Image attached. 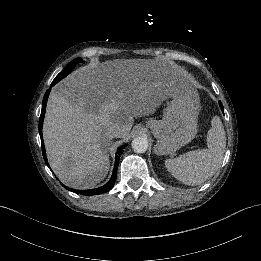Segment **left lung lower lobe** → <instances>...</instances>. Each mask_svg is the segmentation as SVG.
I'll list each match as a JSON object with an SVG mask.
<instances>
[{
  "label": "left lung lower lobe",
  "mask_w": 261,
  "mask_h": 261,
  "mask_svg": "<svg viewBox=\"0 0 261 261\" xmlns=\"http://www.w3.org/2000/svg\"><path fill=\"white\" fill-rule=\"evenodd\" d=\"M219 105H220L221 110L224 112L223 105L220 101H219Z\"/></svg>",
  "instance_id": "left-lung-lower-lobe-1"
}]
</instances>
